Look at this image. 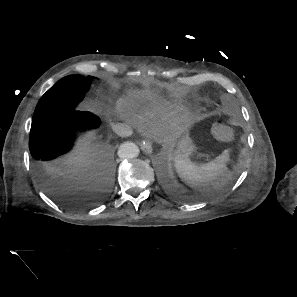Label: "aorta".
<instances>
[{"label": "aorta", "instance_id": "obj_1", "mask_svg": "<svg viewBox=\"0 0 297 297\" xmlns=\"http://www.w3.org/2000/svg\"><path fill=\"white\" fill-rule=\"evenodd\" d=\"M118 155L122 159H132L139 155V148L133 142H125L120 145Z\"/></svg>", "mask_w": 297, "mask_h": 297}]
</instances>
